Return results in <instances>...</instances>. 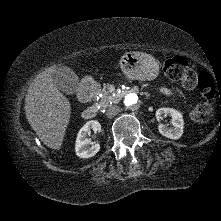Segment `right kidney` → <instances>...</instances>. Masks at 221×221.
<instances>
[{
	"instance_id": "1",
	"label": "right kidney",
	"mask_w": 221,
	"mask_h": 221,
	"mask_svg": "<svg viewBox=\"0 0 221 221\" xmlns=\"http://www.w3.org/2000/svg\"><path fill=\"white\" fill-rule=\"evenodd\" d=\"M100 132L101 125L96 120L88 121L79 130L76 138L75 150L76 155L80 158H90L96 155L100 150V144L96 142H91L86 136L91 131ZM91 145V146H89Z\"/></svg>"
}]
</instances>
